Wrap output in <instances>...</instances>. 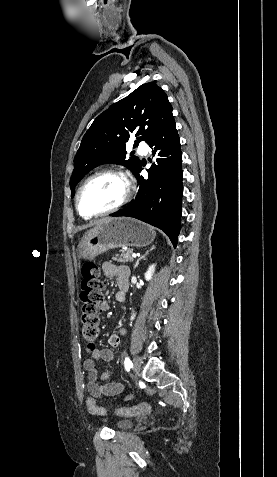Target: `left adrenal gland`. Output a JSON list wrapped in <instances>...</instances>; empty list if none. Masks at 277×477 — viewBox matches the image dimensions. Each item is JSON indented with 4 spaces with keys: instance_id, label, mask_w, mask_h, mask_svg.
<instances>
[{
    "instance_id": "1",
    "label": "left adrenal gland",
    "mask_w": 277,
    "mask_h": 477,
    "mask_svg": "<svg viewBox=\"0 0 277 477\" xmlns=\"http://www.w3.org/2000/svg\"><path fill=\"white\" fill-rule=\"evenodd\" d=\"M154 249H155V246L153 245V246L150 248L149 251H147L144 255H142V256L136 261V263H135V265H134V269L138 266L139 261L142 260V259H144V258L149 254V252H151V251L154 250Z\"/></svg>"
}]
</instances>
